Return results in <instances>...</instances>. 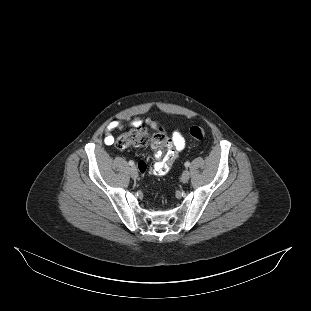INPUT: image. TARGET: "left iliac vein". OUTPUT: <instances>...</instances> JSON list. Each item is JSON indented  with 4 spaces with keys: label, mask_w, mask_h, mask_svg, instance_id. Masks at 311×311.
Segmentation results:
<instances>
[{
    "label": "left iliac vein",
    "mask_w": 311,
    "mask_h": 311,
    "mask_svg": "<svg viewBox=\"0 0 311 311\" xmlns=\"http://www.w3.org/2000/svg\"><path fill=\"white\" fill-rule=\"evenodd\" d=\"M189 178H190V172L188 170H185L181 175V181L183 183H186L188 182Z\"/></svg>",
    "instance_id": "1"
}]
</instances>
